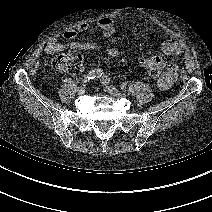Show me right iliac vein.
Here are the masks:
<instances>
[{"label":"right iliac vein","instance_id":"1","mask_svg":"<svg viewBox=\"0 0 212 212\" xmlns=\"http://www.w3.org/2000/svg\"><path fill=\"white\" fill-rule=\"evenodd\" d=\"M85 92H86V88H85V87H79L78 93H79L80 95L85 94Z\"/></svg>","mask_w":212,"mask_h":212}]
</instances>
